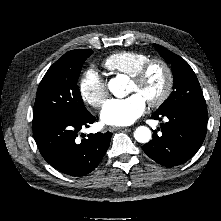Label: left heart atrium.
<instances>
[{"mask_svg": "<svg viewBox=\"0 0 221 221\" xmlns=\"http://www.w3.org/2000/svg\"><path fill=\"white\" fill-rule=\"evenodd\" d=\"M145 109V99L134 93L124 99L108 100L101 110L100 118L107 125L127 126L135 122Z\"/></svg>", "mask_w": 221, "mask_h": 221, "instance_id": "1", "label": "left heart atrium"}]
</instances>
